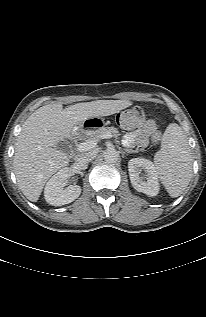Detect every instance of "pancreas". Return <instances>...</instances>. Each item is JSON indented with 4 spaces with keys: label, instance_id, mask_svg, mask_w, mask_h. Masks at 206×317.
<instances>
[{
    "label": "pancreas",
    "instance_id": "obj_1",
    "mask_svg": "<svg viewBox=\"0 0 206 317\" xmlns=\"http://www.w3.org/2000/svg\"><path fill=\"white\" fill-rule=\"evenodd\" d=\"M107 134L114 137H118L120 135L119 131L115 127H103L92 134L87 133L86 138L99 142Z\"/></svg>",
    "mask_w": 206,
    "mask_h": 317
}]
</instances>
